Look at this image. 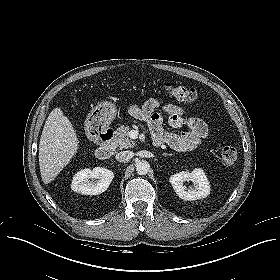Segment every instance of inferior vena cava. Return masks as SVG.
<instances>
[{
    "mask_svg": "<svg viewBox=\"0 0 280 280\" xmlns=\"http://www.w3.org/2000/svg\"><path fill=\"white\" fill-rule=\"evenodd\" d=\"M134 156V153L132 151H122L116 154V160L119 162H128L132 157Z\"/></svg>",
    "mask_w": 280,
    "mask_h": 280,
    "instance_id": "1",
    "label": "inferior vena cava"
}]
</instances>
